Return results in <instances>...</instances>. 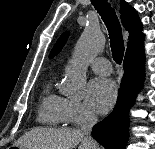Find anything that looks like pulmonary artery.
I'll list each match as a JSON object with an SVG mask.
<instances>
[{
	"instance_id": "pulmonary-artery-1",
	"label": "pulmonary artery",
	"mask_w": 155,
	"mask_h": 149,
	"mask_svg": "<svg viewBox=\"0 0 155 149\" xmlns=\"http://www.w3.org/2000/svg\"><path fill=\"white\" fill-rule=\"evenodd\" d=\"M90 68L102 75H110L112 73V65L111 63L103 57L95 58L89 62Z\"/></svg>"
}]
</instances>
